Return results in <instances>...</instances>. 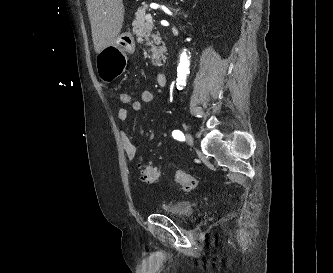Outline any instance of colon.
Here are the masks:
<instances>
[{
    "instance_id": "colon-1",
    "label": "colon",
    "mask_w": 333,
    "mask_h": 273,
    "mask_svg": "<svg viewBox=\"0 0 333 273\" xmlns=\"http://www.w3.org/2000/svg\"><path fill=\"white\" fill-rule=\"evenodd\" d=\"M117 100L122 104H129L132 101V97L127 92H120L117 95ZM141 179L147 183H156L160 179V172L151 166L141 167ZM175 183L179 184L181 189L185 192H189L195 189L197 180L190 174L183 171H177L173 175Z\"/></svg>"
}]
</instances>
